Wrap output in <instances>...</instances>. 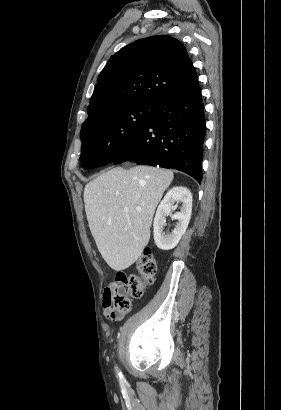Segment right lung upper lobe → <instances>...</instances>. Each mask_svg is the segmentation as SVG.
Listing matches in <instances>:
<instances>
[{
	"label": "right lung upper lobe",
	"mask_w": 281,
	"mask_h": 410,
	"mask_svg": "<svg viewBox=\"0 0 281 410\" xmlns=\"http://www.w3.org/2000/svg\"><path fill=\"white\" fill-rule=\"evenodd\" d=\"M197 85L195 68L179 40L167 35L140 39L108 60L98 76L85 121L112 108L155 107Z\"/></svg>",
	"instance_id": "cb5924a9"
}]
</instances>
